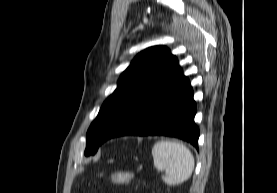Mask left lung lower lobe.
Here are the masks:
<instances>
[{"label":"left lung lower lobe","instance_id":"0a47b994","mask_svg":"<svg viewBox=\"0 0 277 193\" xmlns=\"http://www.w3.org/2000/svg\"><path fill=\"white\" fill-rule=\"evenodd\" d=\"M196 110L192 87L181 69L127 108L106 132L103 142L124 135H165L198 148Z\"/></svg>","mask_w":277,"mask_h":193}]
</instances>
